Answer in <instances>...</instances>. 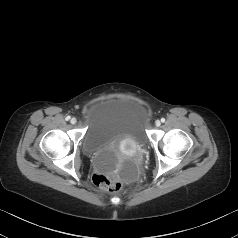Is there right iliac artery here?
Returning <instances> with one entry per match:
<instances>
[{"label":"right iliac artery","instance_id":"obj_1","mask_svg":"<svg viewBox=\"0 0 238 238\" xmlns=\"http://www.w3.org/2000/svg\"><path fill=\"white\" fill-rule=\"evenodd\" d=\"M70 118H71L70 116H67V117H66V120H70Z\"/></svg>","mask_w":238,"mask_h":238}]
</instances>
